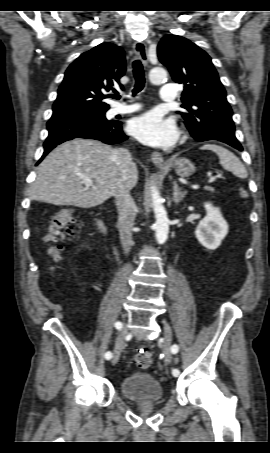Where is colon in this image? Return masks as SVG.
<instances>
[{"mask_svg": "<svg viewBox=\"0 0 270 453\" xmlns=\"http://www.w3.org/2000/svg\"><path fill=\"white\" fill-rule=\"evenodd\" d=\"M239 196L246 201L248 199L247 190L240 188ZM74 221V209L72 208L61 209L51 218L45 240L49 244L48 254L54 261L61 258L62 247L60 242L70 234V226ZM152 360V354L146 351H141L135 356V363L142 370L149 368Z\"/></svg>", "mask_w": 270, "mask_h": 453, "instance_id": "1", "label": "colon"}]
</instances>
